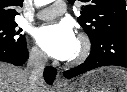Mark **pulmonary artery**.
<instances>
[{
  "instance_id": "1",
  "label": "pulmonary artery",
  "mask_w": 127,
  "mask_h": 92,
  "mask_svg": "<svg viewBox=\"0 0 127 92\" xmlns=\"http://www.w3.org/2000/svg\"><path fill=\"white\" fill-rule=\"evenodd\" d=\"M65 11V3L63 1H55L51 6L37 12L36 17L41 20H50L56 16L62 15Z\"/></svg>"
}]
</instances>
